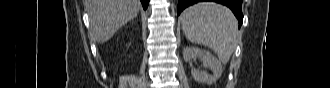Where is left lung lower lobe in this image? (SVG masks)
<instances>
[{"instance_id":"left-lung-lower-lobe-1","label":"left lung lower lobe","mask_w":330,"mask_h":88,"mask_svg":"<svg viewBox=\"0 0 330 88\" xmlns=\"http://www.w3.org/2000/svg\"><path fill=\"white\" fill-rule=\"evenodd\" d=\"M203 1L217 2L229 7L238 19L239 27L242 25L243 14L241 10V4L243 0H179L177 15H179L186 7Z\"/></svg>"}]
</instances>
